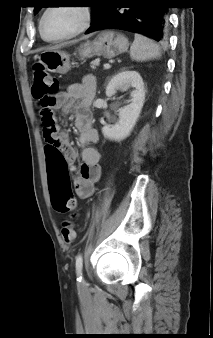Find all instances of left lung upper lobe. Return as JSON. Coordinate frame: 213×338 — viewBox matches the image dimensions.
I'll use <instances>...</instances> for the list:
<instances>
[{"label":"left lung upper lobe","instance_id":"1","mask_svg":"<svg viewBox=\"0 0 213 338\" xmlns=\"http://www.w3.org/2000/svg\"><path fill=\"white\" fill-rule=\"evenodd\" d=\"M101 1L102 0H92L90 3L93 4L92 6V19L93 21L95 20V18L97 17L98 13H99V10L101 8ZM41 7H35L34 9V14H36L39 10H40Z\"/></svg>","mask_w":213,"mask_h":338}]
</instances>
